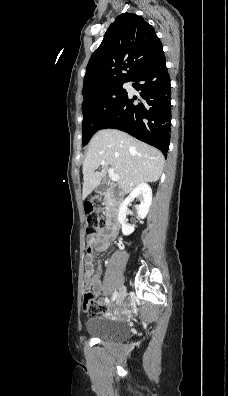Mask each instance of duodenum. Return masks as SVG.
Masks as SVG:
<instances>
[{"label":"duodenum","mask_w":228,"mask_h":396,"mask_svg":"<svg viewBox=\"0 0 228 396\" xmlns=\"http://www.w3.org/2000/svg\"><path fill=\"white\" fill-rule=\"evenodd\" d=\"M100 193L109 197L107 227L109 230L116 232L120 227V207L123 196L121 192L109 186L102 187Z\"/></svg>","instance_id":"410a0bca"}]
</instances>
